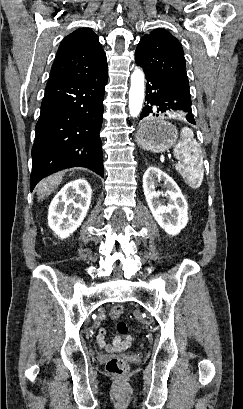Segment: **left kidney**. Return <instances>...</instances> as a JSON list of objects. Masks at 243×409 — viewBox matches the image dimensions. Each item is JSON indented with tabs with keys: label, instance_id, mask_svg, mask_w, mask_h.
<instances>
[{
	"label": "left kidney",
	"instance_id": "obj_1",
	"mask_svg": "<svg viewBox=\"0 0 243 409\" xmlns=\"http://www.w3.org/2000/svg\"><path fill=\"white\" fill-rule=\"evenodd\" d=\"M163 182L166 192L156 191L157 184ZM143 189L147 204L159 226L169 235H177L187 225L188 205L175 181L157 167H149L143 176ZM167 198L164 205L160 196Z\"/></svg>",
	"mask_w": 243,
	"mask_h": 409
}]
</instances>
